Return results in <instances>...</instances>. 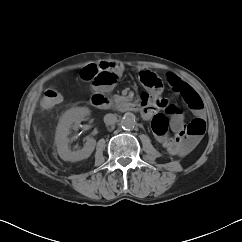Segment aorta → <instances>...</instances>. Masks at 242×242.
<instances>
[{
  "mask_svg": "<svg viewBox=\"0 0 242 242\" xmlns=\"http://www.w3.org/2000/svg\"><path fill=\"white\" fill-rule=\"evenodd\" d=\"M135 125H136V122H135L134 114L131 112L125 113V115L123 116V118L121 120L122 128L125 130H132V129H134Z\"/></svg>",
  "mask_w": 242,
  "mask_h": 242,
  "instance_id": "762f6f07",
  "label": "aorta"
}]
</instances>
